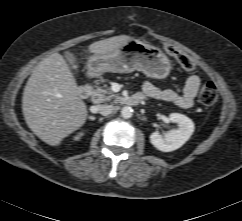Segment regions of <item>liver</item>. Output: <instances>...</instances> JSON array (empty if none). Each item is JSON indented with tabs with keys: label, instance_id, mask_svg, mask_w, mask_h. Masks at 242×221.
Wrapping results in <instances>:
<instances>
[{
	"label": "liver",
	"instance_id": "1",
	"mask_svg": "<svg viewBox=\"0 0 242 221\" xmlns=\"http://www.w3.org/2000/svg\"><path fill=\"white\" fill-rule=\"evenodd\" d=\"M129 39L114 36L92 43L93 54L115 52ZM22 111L28 127L43 142L57 146L86 121L87 107L66 60L59 53L44 58L34 68L23 92Z\"/></svg>",
	"mask_w": 242,
	"mask_h": 221
}]
</instances>
